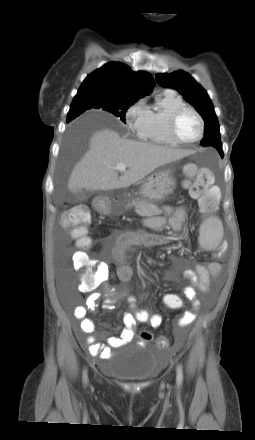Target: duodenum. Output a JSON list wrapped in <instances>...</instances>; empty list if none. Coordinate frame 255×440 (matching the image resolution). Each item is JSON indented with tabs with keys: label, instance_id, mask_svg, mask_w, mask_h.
I'll use <instances>...</instances> for the list:
<instances>
[{
	"label": "duodenum",
	"instance_id": "duodenum-1",
	"mask_svg": "<svg viewBox=\"0 0 255 440\" xmlns=\"http://www.w3.org/2000/svg\"><path fill=\"white\" fill-rule=\"evenodd\" d=\"M97 209H98L99 211H105V203H104L103 201H99V202L97 203Z\"/></svg>",
	"mask_w": 255,
	"mask_h": 440
}]
</instances>
